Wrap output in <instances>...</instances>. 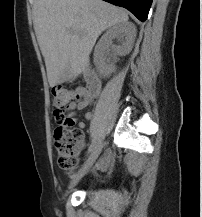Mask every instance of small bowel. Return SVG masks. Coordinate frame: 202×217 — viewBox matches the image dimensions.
Listing matches in <instances>:
<instances>
[{
  "label": "small bowel",
  "mask_w": 202,
  "mask_h": 217,
  "mask_svg": "<svg viewBox=\"0 0 202 217\" xmlns=\"http://www.w3.org/2000/svg\"><path fill=\"white\" fill-rule=\"evenodd\" d=\"M76 92L78 93L80 100L70 107L71 111L85 109L86 107H88L89 105L93 103L95 97L98 95V94H95V95L88 94L86 87H78ZM69 116H70L71 122L74 125H76L78 128L82 129L85 127L84 122L82 121L77 122L73 112ZM91 118H92V113L87 112L85 114V119L90 120ZM113 161H114V156L112 154H108L100 160L97 167L100 170H107L111 166Z\"/></svg>",
  "instance_id": "c3829d8e"
}]
</instances>
